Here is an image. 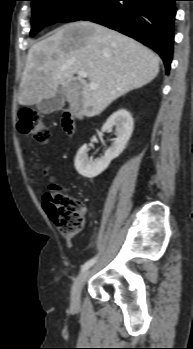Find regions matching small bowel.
Instances as JSON below:
<instances>
[{
    "label": "small bowel",
    "mask_w": 193,
    "mask_h": 349,
    "mask_svg": "<svg viewBox=\"0 0 193 349\" xmlns=\"http://www.w3.org/2000/svg\"><path fill=\"white\" fill-rule=\"evenodd\" d=\"M49 173H50V167L45 168L43 171V175L46 177L49 175ZM82 212L85 213V209H82Z\"/></svg>",
    "instance_id": "1"
}]
</instances>
